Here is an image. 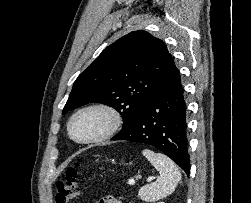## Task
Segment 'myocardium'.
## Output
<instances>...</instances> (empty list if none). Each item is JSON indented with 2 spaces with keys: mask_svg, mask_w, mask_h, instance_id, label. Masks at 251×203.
Here are the masks:
<instances>
[{
  "mask_svg": "<svg viewBox=\"0 0 251 203\" xmlns=\"http://www.w3.org/2000/svg\"><path fill=\"white\" fill-rule=\"evenodd\" d=\"M92 111L103 114L106 118V125L104 129L97 135L91 138H87V139H78L77 137H75L72 130L73 122L79 115L86 112H92ZM122 123H123L122 115L116 108L106 103L97 102V103H91V104L85 105L77 109L71 115L68 121L67 129H68V134L70 138L76 143L92 144V143H97V142L107 140L111 138L112 136H114L117 133V131L120 129V127L122 126Z\"/></svg>",
  "mask_w": 251,
  "mask_h": 203,
  "instance_id": "f54148a6",
  "label": "myocardium"
}]
</instances>
